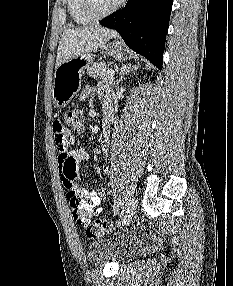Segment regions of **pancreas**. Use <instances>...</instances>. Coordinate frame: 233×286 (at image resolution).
I'll return each instance as SVG.
<instances>
[{"label": "pancreas", "mask_w": 233, "mask_h": 286, "mask_svg": "<svg viewBox=\"0 0 233 286\" xmlns=\"http://www.w3.org/2000/svg\"><path fill=\"white\" fill-rule=\"evenodd\" d=\"M87 74L93 78L100 80H113L114 77L107 74L106 63L100 62L95 63L91 67L87 68Z\"/></svg>", "instance_id": "obj_1"}]
</instances>
